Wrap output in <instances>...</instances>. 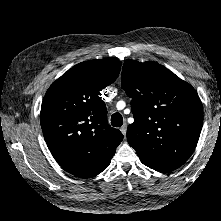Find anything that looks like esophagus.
<instances>
[{
	"instance_id": "esophagus-1",
	"label": "esophagus",
	"mask_w": 221,
	"mask_h": 221,
	"mask_svg": "<svg viewBox=\"0 0 221 221\" xmlns=\"http://www.w3.org/2000/svg\"><path fill=\"white\" fill-rule=\"evenodd\" d=\"M126 128H127L126 124H123V126L120 128V131L124 136H126Z\"/></svg>"
}]
</instances>
